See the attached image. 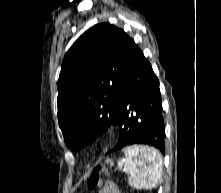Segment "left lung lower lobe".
Listing matches in <instances>:
<instances>
[{"label": "left lung lower lobe", "instance_id": "0a47b994", "mask_svg": "<svg viewBox=\"0 0 221 193\" xmlns=\"http://www.w3.org/2000/svg\"><path fill=\"white\" fill-rule=\"evenodd\" d=\"M149 111H152L154 123L143 126V117ZM118 115L120 137L112 151L129 145L145 144L154 146L165 154V125L159 81L140 49L132 59L122 81Z\"/></svg>", "mask_w": 221, "mask_h": 193}]
</instances>
